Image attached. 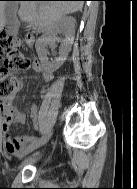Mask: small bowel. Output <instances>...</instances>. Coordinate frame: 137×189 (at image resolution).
I'll list each match as a JSON object with an SVG mask.
<instances>
[{"label": "small bowel", "mask_w": 137, "mask_h": 189, "mask_svg": "<svg viewBox=\"0 0 137 189\" xmlns=\"http://www.w3.org/2000/svg\"><path fill=\"white\" fill-rule=\"evenodd\" d=\"M34 69L40 73L43 81H50L52 79V74L44 70L39 64H36ZM30 117L34 129L38 130L40 128V124L38 122L37 106L33 105L31 107ZM0 119L7 153L13 156L21 155L22 152L30 146L33 137L20 135L13 138L11 134V127L14 124H23L26 120L25 113L16 107L11 106L9 102L0 103Z\"/></svg>", "instance_id": "1"}]
</instances>
